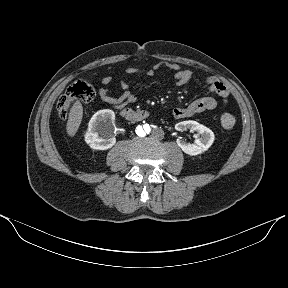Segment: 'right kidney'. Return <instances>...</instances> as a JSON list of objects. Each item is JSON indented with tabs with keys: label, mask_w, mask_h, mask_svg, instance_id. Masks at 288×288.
<instances>
[{
	"label": "right kidney",
	"mask_w": 288,
	"mask_h": 288,
	"mask_svg": "<svg viewBox=\"0 0 288 288\" xmlns=\"http://www.w3.org/2000/svg\"><path fill=\"white\" fill-rule=\"evenodd\" d=\"M115 120L112 110H100L96 112L89 121L88 130L85 134V142L95 150L110 149L116 140L112 131H108L106 126Z\"/></svg>",
	"instance_id": "ca27d5eb"
}]
</instances>
